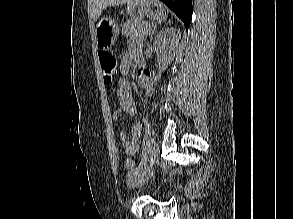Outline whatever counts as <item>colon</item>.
<instances>
[{
  "mask_svg": "<svg viewBox=\"0 0 293 219\" xmlns=\"http://www.w3.org/2000/svg\"><path fill=\"white\" fill-rule=\"evenodd\" d=\"M99 62L103 71V78L106 83H112L118 72V63L116 57L108 51L99 52ZM125 167L128 170H132L134 167V161L127 159L125 161Z\"/></svg>",
  "mask_w": 293,
  "mask_h": 219,
  "instance_id": "colon-1",
  "label": "colon"
}]
</instances>
